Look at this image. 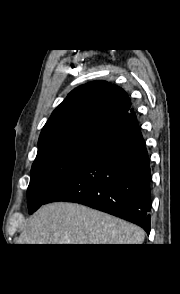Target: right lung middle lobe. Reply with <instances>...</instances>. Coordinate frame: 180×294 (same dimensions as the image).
I'll use <instances>...</instances> for the list:
<instances>
[{
  "mask_svg": "<svg viewBox=\"0 0 180 294\" xmlns=\"http://www.w3.org/2000/svg\"><path fill=\"white\" fill-rule=\"evenodd\" d=\"M99 142L75 139L38 151L27 190L29 213L45 204L49 196L80 166Z\"/></svg>",
  "mask_w": 180,
  "mask_h": 294,
  "instance_id": "1",
  "label": "right lung middle lobe"
}]
</instances>
